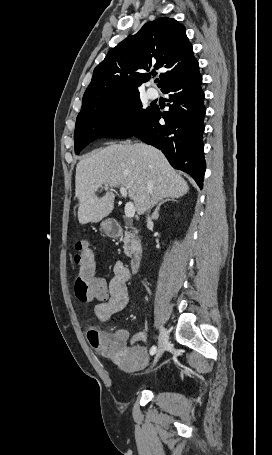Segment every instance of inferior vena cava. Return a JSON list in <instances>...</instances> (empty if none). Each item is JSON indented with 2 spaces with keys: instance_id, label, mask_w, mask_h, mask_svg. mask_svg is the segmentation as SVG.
Here are the masks:
<instances>
[{
  "instance_id": "602c4592",
  "label": "inferior vena cava",
  "mask_w": 272,
  "mask_h": 455,
  "mask_svg": "<svg viewBox=\"0 0 272 455\" xmlns=\"http://www.w3.org/2000/svg\"><path fill=\"white\" fill-rule=\"evenodd\" d=\"M150 220H151L150 217H148V218H147V221H150Z\"/></svg>"
}]
</instances>
